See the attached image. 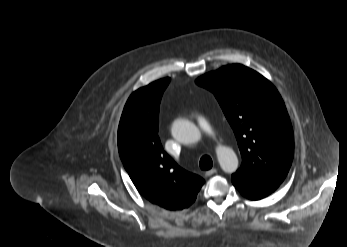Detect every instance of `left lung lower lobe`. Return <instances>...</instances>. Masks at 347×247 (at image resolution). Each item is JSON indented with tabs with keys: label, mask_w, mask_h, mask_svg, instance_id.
<instances>
[{
	"label": "left lung lower lobe",
	"mask_w": 347,
	"mask_h": 247,
	"mask_svg": "<svg viewBox=\"0 0 347 247\" xmlns=\"http://www.w3.org/2000/svg\"><path fill=\"white\" fill-rule=\"evenodd\" d=\"M231 180L239 192L251 200H259L268 196L280 185L275 183H255L236 175H232Z\"/></svg>",
	"instance_id": "obj_1"
}]
</instances>
